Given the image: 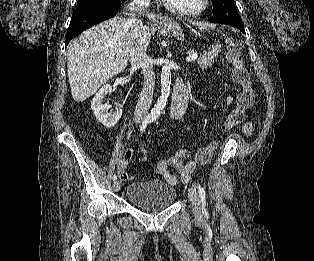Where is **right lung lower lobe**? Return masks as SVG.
<instances>
[{"label": "right lung lower lobe", "instance_id": "obj_1", "mask_svg": "<svg viewBox=\"0 0 314 261\" xmlns=\"http://www.w3.org/2000/svg\"><path fill=\"white\" fill-rule=\"evenodd\" d=\"M126 0H101L76 9L67 31L65 46L84 30L116 15Z\"/></svg>", "mask_w": 314, "mask_h": 261}]
</instances>
